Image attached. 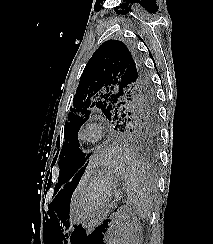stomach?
Masks as SVG:
<instances>
[{"mask_svg":"<svg viewBox=\"0 0 213 244\" xmlns=\"http://www.w3.org/2000/svg\"><path fill=\"white\" fill-rule=\"evenodd\" d=\"M108 160L103 164L104 169L88 173L86 182L77 189L76 211L71 215L73 222L82 223L96 217L114 197L120 178Z\"/></svg>","mask_w":213,"mask_h":244,"instance_id":"1","label":"stomach"}]
</instances>
